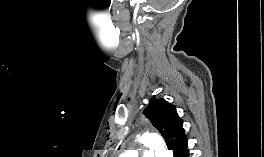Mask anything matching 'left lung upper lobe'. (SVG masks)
Masks as SVG:
<instances>
[{
	"label": "left lung upper lobe",
	"mask_w": 264,
	"mask_h": 157,
	"mask_svg": "<svg viewBox=\"0 0 264 157\" xmlns=\"http://www.w3.org/2000/svg\"><path fill=\"white\" fill-rule=\"evenodd\" d=\"M144 113L162 134L169 150H173L187 139L183 121L179 118L175 105L168 103L164 98L153 99Z\"/></svg>",
	"instance_id": "left-lung-upper-lobe-1"
}]
</instances>
